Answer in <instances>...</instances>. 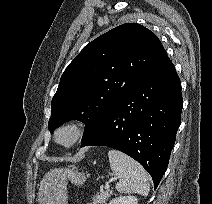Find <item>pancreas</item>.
Listing matches in <instances>:
<instances>
[{"label": "pancreas", "mask_w": 212, "mask_h": 204, "mask_svg": "<svg viewBox=\"0 0 212 204\" xmlns=\"http://www.w3.org/2000/svg\"><path fill=\"white\" fill-rule=\"evenodd\" d=\"M113 190L107 189L106 191H101L93 197V203L91 204H106V200L111 197Z\"/></svg>", "instance_id": "1"}]
</instances>
